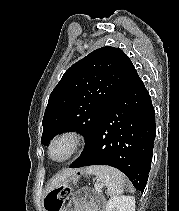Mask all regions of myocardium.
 Segmentation results:
<instances>
[{"label": "myocardium", "instance_id": "1", "mask_svg": "<svg viewBox=\"0 0 179 211\" xmlns=\"http://www.w3.org/2000/svg\"><path fill=\"white\" fill-rule=\"evenodd\" d=\"M84 141L83 134L77 129H67L56 134L48 144L47 157L55 164H62L70 160L81 148ZM65 142L68 144V151L62 158L53 157V149L59 144Z\"/></svg>", "mask_w": 179, "mask_h": 211}]
</instances>
